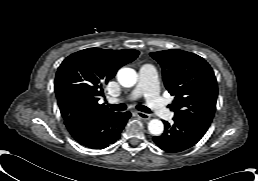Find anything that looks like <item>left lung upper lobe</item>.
I'll list each match as a JSON object with an SVG mask.
<instances>
[{
  "mask_svg": "<svg viewBox=\"0 0 258 181\" xmlns=\"http://www.w3.org/2000/svg\"><path fill=\"white\" fill-rule=\"evenodd\" d=\"M150 55L162 67L164 85L174 95V117L210 125L216 109L217 82L210 65L200 56L182 51L165 50Z\"/></svg>",
  "mask_w": 258,
  "mask_h": 181,
  "instance_id": "left-lung-upper-lobe-1",
  "label": "left lung upper lobe"
}]
</instances>
